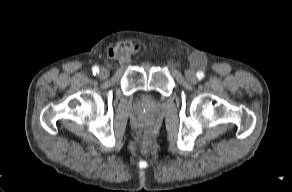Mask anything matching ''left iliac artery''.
<instances>
[{"instance_id": "obj_1", "label": "left iliac artery", "mask_w": 292, "mask_h": 192, "mask_svg": "<svg viewBox=\"0 0 292 192\" xmlns=\"http://www.w3.org/2000/svg\"><path fill=\"white\" fill-rule=\"evenodd\" d=\"M196 76H197V78H198L199 80H201V79L204 78V73L201 72V71H200V72H197Z\"/></svg>"}]
</instances>
